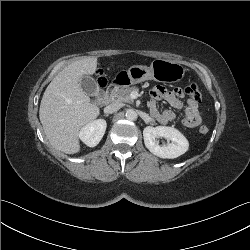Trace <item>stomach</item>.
I'll return each mask as SVG.
<instances>
[{"label":"stomach","instance_id":"stomach-1","mask_svg":"<svg viewBox=\"0 0 250 250\" xmlns=\"http://www.w3.org/2000/svg\"><path fill=\"white\" fill-rule=\"evenodd\" d=\"M185 72V67L179 63L165 59H155L150 67L134 65L127 71L118 73L117 79L122 85H134L146 80L172 83L181 81Z\"/></svg>","mask_w":250,"mask_h":250}]
</instances>
